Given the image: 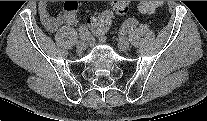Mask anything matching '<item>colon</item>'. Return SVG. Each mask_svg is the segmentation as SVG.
<instances>
[{"label": "colon", "instance_id": "obj_1", "mask_svg": "<svg viewBox=\"0 0 207 121\" xmlns=\"http://www.w3.org/2000/svg\"><path fill=\"white\" fill-rule=\"evenodd\" d=\"M163 5L162 1H142L138 3L137 9L142 14H152ZM113 12L117 15H124L128 6L124 1H115L112 5ZM112 12L102 11L95 13L89 19V26L93 33L99 37L104 38L106 32L111 25Z\"/></svg>", "mask_w": 207, "mask_h": 121}]
</instances>
